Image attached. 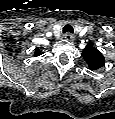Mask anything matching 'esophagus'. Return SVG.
Masks as SVG:
<instances>
[{
	"mask_svg": "<svg viewBox=\"0 0 115 119\" xmlns=\"http://www.w3.org/2000/svg\"><path fill=\"white\" fill-rule=\"evenodd\" d=\"M63 37L66 41H73L74 40V36L71 33H66V34H64Z\"/></svg>",
	"mask_w": 115,
	"mask_h": 119,
	"instance_id": "esophagus-1",
	"label": "esophagus"
}]
</instances>
